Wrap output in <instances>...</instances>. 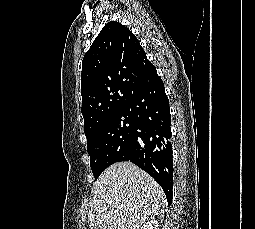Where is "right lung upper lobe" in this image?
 Returning <instances> with one entry per match:
<instances>
[{
	"instance_id": "1",
	"label": "right lung upper lobe",
	"mask_w": 255,
	"mask_h": 229,
	"mask_svg": "<svg viewBox=\"0 0 255 229\" xmlns=\"http://www.w3.org/2000/svg\"><path fill=\"white\" fill-rule=\"evenodd\" d=\"M154 69L127 27L114 21L103 27L82 61L81 112L86 138L123 111L139 81Z\"/></svg>"
}]
</instances>
